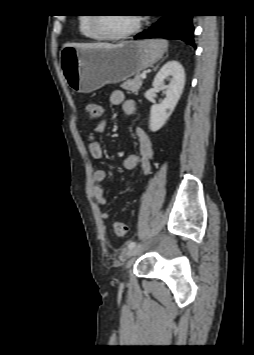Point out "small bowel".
<instances>
[{
	"mask_svg": "<svg viewBox=\"0 0 254 355\" xmlns=\"http://www.w3.org/2000/svg\"><path fill=\"white\" fill-rule=\"evenodd\" d=\"M109 102L112 105H122L126 114L132 115L135 113L137 106L135 101L125 98V94L121 90H114L111 92ZM105 123L101 122L94 127L88 134L89 151L93 158L103 159V148L98 140V136L104 130ZM135 137L138 143V154H131L124 158L123 167L126 170H134L137 166H141L144 175H149L152 170V161L154 156L152 141L146 132L137 127L135 129ZM107 178V171L103 168H94L92 170V180L95 183L104 181ZM92 195L99 205H105L107 203V194L105 189L98 184L93 185ZM100 217L103 220H108L111 214L108 210L100 212Z\"/></svg>",
	"mask_w": 254,
	"mask_h": 355,
	"instance_id": "1",
	"label": "small bowel"
}]
</instances>
